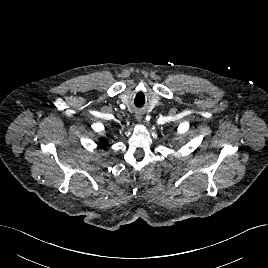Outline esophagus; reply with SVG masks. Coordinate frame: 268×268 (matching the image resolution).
Wrapping results in <instances>:
<instances>
[{
	"mask_svg": "<svg viewBox=\"0 0 268 268\" xmlns=\"http://www.w3.org/2000/svg\"><path fill=\"white\" fill-rule=\"evenodd\" d=\"M142 115H137L136 118L138 119V121H140L142 119Z\"/></svg>",
	"mask_w": 268,
	"mask_h": 268,
	"instance_id": "obj_1",
	"label": "esophagus"
}]
</instances>
